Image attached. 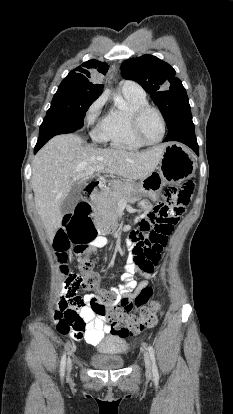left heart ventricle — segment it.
<instances>
[{
	"mask_svg": "<svg viewBox=\"0 0 233 414\" xmlns=\"http://www.w3.org/2000/svg\"><path fill=\"white\" fill-rule=\"evenodd\" d=\"M141 131L145 138L156 141L162 134V122L154 111L147 112L141 119Z\"/></svg>",
	"mask_w": 233,
	"mask_h": 414,
	"instance_id": "obj_1",
	"label": "left heart ventricle"
}]
</instances>
